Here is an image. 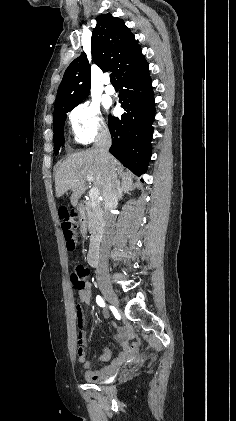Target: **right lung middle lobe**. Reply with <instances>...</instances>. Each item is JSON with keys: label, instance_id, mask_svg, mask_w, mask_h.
I'll list each match as a JSON object with an SVG mask.
<instances>
[{"label": "right lung middle lobe", "instance_id": "obj_1", "mask_svg": "<svg viewBox=\"0 0 236 421\" xmlns=\"http://www.w3.org/2000/svg\"><path fill=\"white\" fill-rule=\"evenodd\" d=\"M82 101L68 104L56 108L54 110L53 115V129H54V146H55V153L58 154L60 146L64 144V123L67 117V113L71 111L74 107L80 104Z\"/></svg>", "mask_w": 236, "mask_h": 421}]
</instances>
